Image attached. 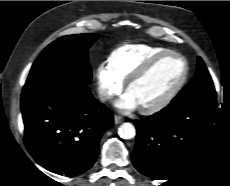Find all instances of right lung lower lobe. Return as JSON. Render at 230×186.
Masks as SVG:
<instances>
[{
    "instance_id": "right-lung-lower-lobe-1",
    "label": "right lung lower lobe",
    "mask_w": 230,
    "mask_h": 186,
    "mask_svg": "<svg viewBox=\"0 0 230 186\" xmlns=\"http://www.w3.org/2000/svg\"><path fill=\"white\" fill-rule=\"evenodd\" d=\"M88 81L59 71L27 80L21 96L25 145L45 169L66 175L88 170L113 115L92 96Z\"/></svg>"
}]
</instances>
